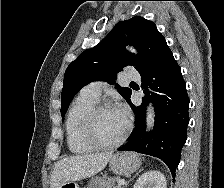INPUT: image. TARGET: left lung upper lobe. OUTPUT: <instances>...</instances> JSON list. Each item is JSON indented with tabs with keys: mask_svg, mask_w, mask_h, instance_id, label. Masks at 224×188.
Masks as SVG:
<instances>
[{
	"mask_svg": "<svg viewBox=\"0 0 224 188\" xmlns=\"http://www.w3.org/2000/svg\"><path fill=\"white\" fill-rule=\"evenodd\" d=\"M126 45H133L139 54L126 51ZM171 55L154 22L133 17L117 23L98 45L82 52L66 69L61 93L62 118L74 95L88 83L102 80L113 84L116 73L126 66L134 67L141 76L145 75ZM116 88L130 102L131 89L118 84Z\"/></svg>",
	"mask_w": 224,
	"mask_h": 188,
	"instance_id": "1",
	"label": "left lung upper lobe"
}]
</instances>
